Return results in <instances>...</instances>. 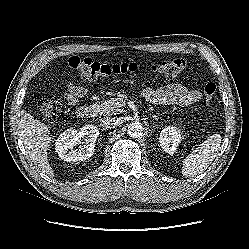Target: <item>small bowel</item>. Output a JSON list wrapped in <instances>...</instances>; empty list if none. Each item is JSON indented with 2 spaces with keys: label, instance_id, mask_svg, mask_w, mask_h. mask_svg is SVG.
Returning a JSON list of instances; mask_svg holds the SVG:
<instances>
[{
  "label": "small bowel",
  "instance_id": "1",
  "mask_svg": "<svg viewBox=\"0 0 249 249\" xmlns=\"http://www.w3.org/2000/svg\"><path fill=\"white\" fill-rule=\"evenodd\" d=\"M87 94V89L81 85L70 83L63 96L69 104H76ZM143 96L154 103L170 104L187 107L201 98L197 90H190L182 84H169L158 89L145 88Z\"/></svg>",
  "mask_w": 249,
  "mask_h": 249
}]
</instances>
